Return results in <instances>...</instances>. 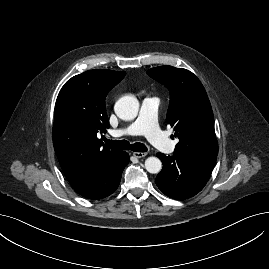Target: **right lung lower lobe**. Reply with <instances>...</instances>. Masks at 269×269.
Segmentation results:
<instances>
[{
	"label": "right lung lower lobe",
	"mask_w": 269,
	"mask_h": 269,
	"mask_svg": "<svg viewBox=\"0 0 269 269\" xmlns=\"http://www.w3.org/2000/svg\"><path fill=\"white\" fill-rule=\"evenodd\" d=\"M128 163L129 155L123 151L112 163L101 170L69 182L72 188L83 197L101 199L118 188L123 169Z\"/></svg>",
	"instance_id": "obj_1"
}]
</instances>
